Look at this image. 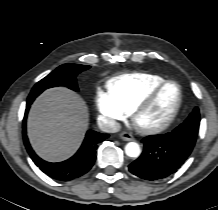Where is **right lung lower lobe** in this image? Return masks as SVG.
I'll list each match as a JSON object with an SVG mask.
<instances>
[{"label": "right lung lower lobe", "instance_id": "1", "mask_svg": "<svg viewBox=\"0 0 218 210\" xmlns=\"http://www.w3.org/2000/svg\"><path fill=\"white\" fill-rule=\"evenodd\" d=\"M38 95H29L23 121V139L27 152L33 162L49 177L60 180L69 181L78 178L87 173L93 166L96 160V149L98 144L108 138V134H102L96 131L89 130L80 149L70 159L59 162L50 163L39 158L30 146L26 135V118L30 105Z\"/></svg>", "mask_w": 218, "mask_h": 210}]
</instances>
